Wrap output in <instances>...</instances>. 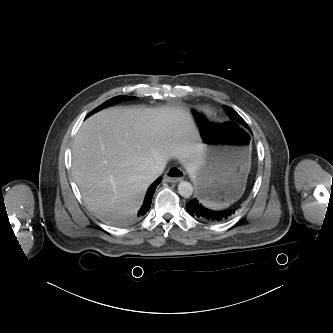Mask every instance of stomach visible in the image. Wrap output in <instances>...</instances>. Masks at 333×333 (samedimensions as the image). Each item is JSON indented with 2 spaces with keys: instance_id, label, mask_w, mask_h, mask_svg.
Listing matches in <instances>:
<instances>
[{
  "instance_id": "1",
  "label": "stomach",
  "mask_w": 333,
  "mask_h": 333,
  "mask_svg": "<svg viewBox=\"0 0 333 333\" xmlns=\"http://www.w3.org/2000/svg\"><path fill=\"white\" fill-rule=\"evenodd\" d=\"M202 138V163L193 175L199 197L222 206L237 201L250 170L251 137L230 123H211L193 110Z\"/></svg>"
}]
</instances>
